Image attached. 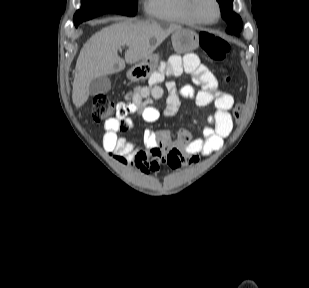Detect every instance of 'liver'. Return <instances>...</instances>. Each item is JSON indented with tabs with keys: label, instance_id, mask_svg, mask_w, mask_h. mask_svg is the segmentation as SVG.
Returning <instances> with one entry per match:
<instances>
[{
	"label": "liver",
	"instance_id": "1",
	"mask_svg": "<svg viewBox=\"0 0 309 288\" xmlns=\"http://www.w3.org/2000/svg\"><path fill=\"white\" fill-rule=\"evenodd\" d=\"M179 28V25L172 23L125 19L92 35L83 45L77 59L72 92L74 105L79 108L86 103L93 79L124 70L125 62L135 64L149 57ZM121 47H127L125 59L118 54Z\"/></svg>",
	"mask_w": 309,
	"mask_h": 288
}]
</instances>
